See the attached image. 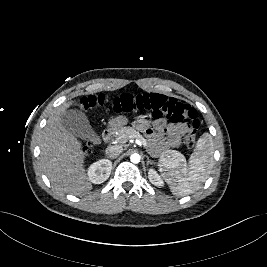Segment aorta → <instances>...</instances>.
Wrapping results in <instances>:
<instances>
[{
	"label": "aorta",
	"instance_id": "1",
	"mask_svg": "<svg viewBox=\"0 0 267 267\" xmlns=\"http://www.w3.org/2000/svg\"><path fill=\"white\" fill-rule=\"evenodd\" d=\"M130 160H131L132 163H139L140 160H141V157H140L139 154L134 153V154H132V155L130 156Z\"/></svg>",
	"mask_w": 267,
	"mask_h": 267
}]
</instances>
